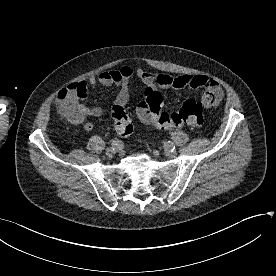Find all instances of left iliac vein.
I'll list each match as a JSON object with an SVG mask.
<instances>
[{
	"label": "left iliac vein",
	"instance_id": "left-iliac-vein-1",
	"mask_svg": "<svg viewBox=\"0 0 276 276\" xmlns=\"http://www.w3.org/2000/svg\"><path fill=\"white\" fill-rule=\"evenodd\" d=\"M165 153L169 157H175L177 155V151L175 149H165Z\"/></svg>",
	"mask_w": 276,
	"mask_h": 276
}]
</instances>
